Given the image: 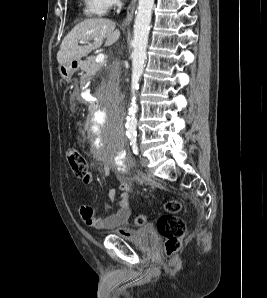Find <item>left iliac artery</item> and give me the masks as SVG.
Returning a JSON list of instances; mask_svg holds the SVG:
<instances>
[{
  "label": "left iliac artery",
  "mask_w": 267,
  "mask_h": 298,
  "mask_svg": "<svg viewBox=\"0 0 267 298\" xmlns=\"http://www.w3.org/2000/svg\"><path fill=\"white\" fill-rule=\"evenodd\" d=\"M129 140H130V146L133 150V153L135 155H137L138 154V146H137L136 136H129Z\"/></svg>",
  "instance_id": "obj_1"
}]
</instances>
